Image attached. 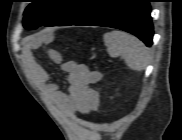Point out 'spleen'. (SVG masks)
Instances as JSON below:
<instances>
[{
    "label": "spleen",
    "mask_w": 182,
    "mask_h": 140,
    "mask_svg": "<svg viewBox=\"0 0 182 140\" xmlns=\"http://www.w3.org/2000/svg\"><path fill=\"white\" fill-rule=\"evenodd\" d=\"M111 57L122 56L126 65L136 71H143L150 62V52L142 41L122 31H111L103 36Z\"/></svg>",
    "instance_id": "1"
}]
</instances>
